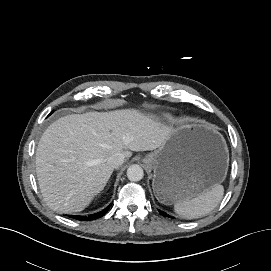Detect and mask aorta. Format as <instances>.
<instances>
[{"mask_svg": "<svg viewBox=\"0 0 271 271\" xmlns=\"http://www.w3.org/2000/svg\"><path fill=\"white\" fill-rule=\"evenodd\" d=\"M127 177L130 181H140L144 177V171L137 164L130 165L127 169Z\"/></svg>", "mask_w": 271, "mask_h": 271, "instance_id": "762f6f07", "label": "aorta"}]
</instances>
